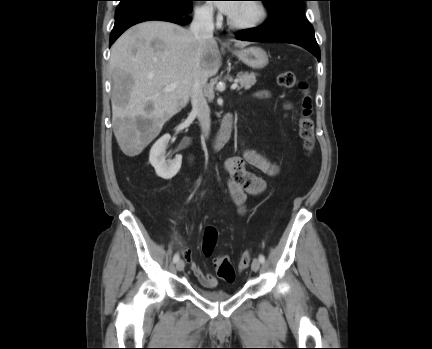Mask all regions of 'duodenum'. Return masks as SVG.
<instances>
[{
    "mask_svg": "<svg viewBox=\"0 0 432 349\" xmlns=\"http://www.w3.org/2000/svg\"><path fill=\"white\" fill-rule=\"evenodd\" d=\"M233 127V117L231 114L226 115L221 124V129L213 140V149L215 151L221 150L228 142Z\"/></svg>",
    "mask_w": 432,
    "mask_h": 349,
    "instance_id": "duodenum-1",
    "label": "duodenum"
}]
</instances>
